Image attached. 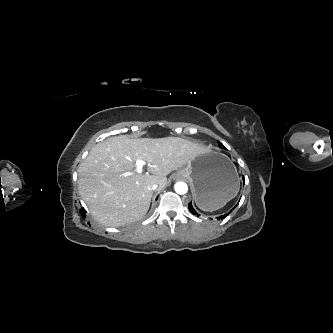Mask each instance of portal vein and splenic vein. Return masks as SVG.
<instances>
[{
    "label": "portal vein and splenic vein",
    "mask_w": 333,
    "mask_h": 333,
    "mask_svg": "<svg viewBox=\"0 0 333 333\" xmlns=\"http://www.w3.org/2000/svg\"><path fill=\"white\" fill-rule=\"evenodd\" d=\"M145 165H147L145 161H143L141 159H138V160H136V170H135V172H125V173H123V176H131L135 173L140 174V173H142V169Z\"/></svg>",
    "instance_id": "obj_1"
}]
</instances>
